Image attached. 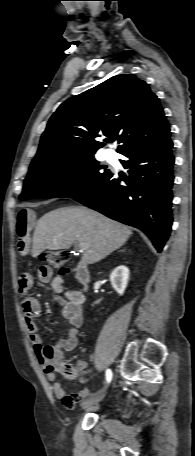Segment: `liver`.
Wrapping results in <instances>:
<instances>
[{"label":"liver","mask_w":195,"mask_h":456,"mask_svg":"<svg viewBox=\"0 0 195 456\" xmlns=\"http://www.w3.org/2000/svg\"><path fill=\"white\" fill-rule=\"evenodd\" d=\"M129 227L85 207H65L43 215L33 235L32 256L45 250L69 249L73 243L86 245L82 260L94 264L119 249L129 239Z\"/></svg>","instance_id":"obj_1"}]
</instances>
